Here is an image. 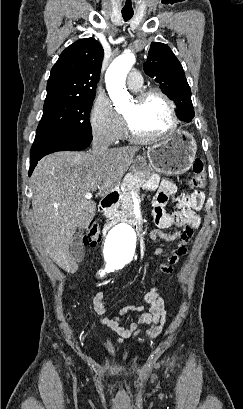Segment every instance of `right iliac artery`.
<instances>
[{"instance_id": "82829eb1", "label": "right iliac artery", "mask_w": 243, "mask_h": 409, "mask_svg": "<svg viewBox=\"0 0 243 409\" xmlns=\"http://www.w3.org/2000/svg\"><path fill=\"white\" fill-rule=\"evenodd\" d=\"M106 272H109V270L108 269L102 270V271L99 272V275L103 276V275L106 274Z\"/></svg>"}]
</instances>
